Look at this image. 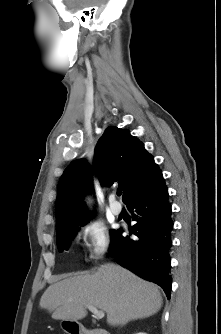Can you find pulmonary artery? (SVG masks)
Listing matches in <instances>:
<instances>
[{"label":"pulmonary artery","mask_w":221,"mask_h":334,"mask_svg":"<svg viewBox=\"0 0 221 334\" xmlns=\"http://www.w3.org/2000/svg\"><path fill=\"white\" fill-rule=\"evenodd\" d=\"M110 210L114 215H119L122 212V207L114 196L110 197Z\"/></svg>","instance_id":"1"}]
</instances>
